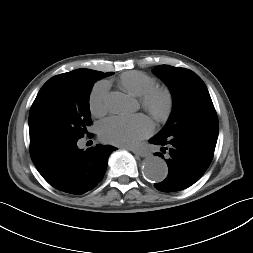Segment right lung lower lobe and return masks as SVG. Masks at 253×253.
<instances>
[{"label":"right lung lower lobe","instance_id":"1","mask_svg":"<svg viewBox=\"0 0 253 253\" xmlns=\"http://www.w3.org/2000/svg\"><path fill=\"white\" fill-rule=\"evenodd\" d=\"M115 150L113 146L99 144L83 151L75 142L58 149L35 166L54 188L80 195L101 182L107 169L108 157Z\"/></svg>","mask_w":253,"mask_h":253}]
</instances>
